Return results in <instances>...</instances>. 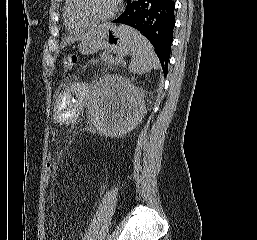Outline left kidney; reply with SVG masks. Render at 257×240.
Wrapping results in <instances>:
<instances>
[{"label":"left kidney","instance_id":"1","mask_svg":"<svg viewBox=\"0 0 257 240\" xmlns=\"http://www.w3.org/2000/svg\"><path fill=\"white\" fill-rule=\"evenodd\" d=\"M89 113L99 133L111 137L126 134L144 117L143 93L125 77L107 75L93 88Z\"/></svg>","mask_w":257,"mask_h":240}]
</instances>
